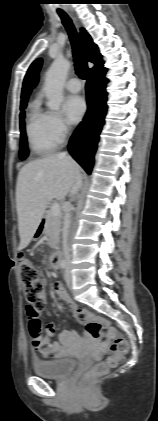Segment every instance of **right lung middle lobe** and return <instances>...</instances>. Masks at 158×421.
I'll list each match as a JSON object with an SVG mask.
<instances>
[{
  "instance_id": "right-lung-middle-lobe-1",
  "label": "right lung middle lobe",
  "mask_w": 158,
  "mask_h": 421,
  "mask_svg": "<svg viewBox=\"0 0 158 421\" xmlns=\"http://www.w3.org/2000/svg\"><path fill=\"white\" fill-rule=\"evenodd\" d=\"M26 105H21V113H20V131H21V142H20V151L19 157L21 160H24L28 156V149H27V137L25 133V123H24V109Z\"/></svg>"
}]
</instances>
